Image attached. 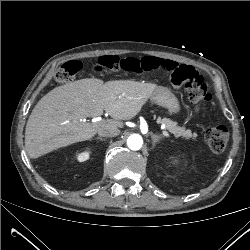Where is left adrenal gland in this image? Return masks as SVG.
I'll list each match as a JSON object with an SVG mask.
<instances>
[{
    "instance_id": "left-adrenal-gland-1",
    "label": "left adrenal gland",
    "mask_w": 250,
    "mask_h": 250,
    "mask_svg": "<svg viewBox=\"0 0 250 250\" xmlns=\"http://www.w3.org/2000/svg\"><path fill=\"white\" fill-rule=\"evenodd\" d=\"M152 141H153V146H156V143H158L160 141V139L162 138V136L156 135L154 133H150Z\"/></svg>"
}]
</instances>
